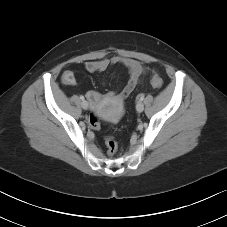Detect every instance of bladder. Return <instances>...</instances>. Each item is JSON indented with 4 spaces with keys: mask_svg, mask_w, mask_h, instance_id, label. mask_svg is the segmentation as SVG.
I'll list each match as a JSON object with an SVG mask.
<instances>
[{
    "mask_svg": "<svg viewBox=\"0 0 227 227\" xmlns=\"http://www.w3.org/2000/svg\"><path fill=\"white\" fill-rule=\"evenodd\" d=\"M98 114L109 121H113L114 119L117 118V114H115V113L103 114V113L99 112Z\"/></svg>",
    "mask_w": 227,
    "mask_h": 227,
    "instance_id": "31cf9c89",
    "label": "bladder"
}]
</instances>
